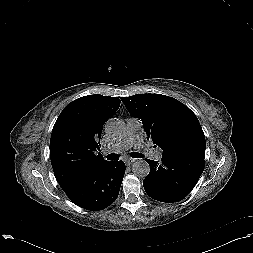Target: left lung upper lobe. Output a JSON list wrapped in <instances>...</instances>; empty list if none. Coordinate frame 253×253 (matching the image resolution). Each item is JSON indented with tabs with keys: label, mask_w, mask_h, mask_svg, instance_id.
Listing matches in <instances>:
<instances>
[{
	"label": "left lung upper lobe",
	"mask_w": 253,
	"mask_h": 253,
	"mask_svg": "<svg viewBox=\"0 0 253 253\" xmlns=\"http://www.w3.org/2000/svg\"><path fill=\"white\" fill-rule=\"evenodd\" d=\"M133 117L142 120L162 156L190 154L205 157V136L196 115L180 101L161 94L121 97Z\"/></svg>",
	"instance_id": "1"
}]
</instances>
